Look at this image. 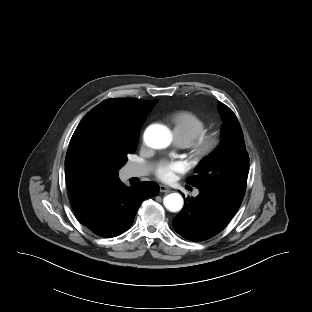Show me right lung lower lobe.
I'll return each mask as SVG.
<instances>
[{
    "instance_id": "obj_1",
    "label": "right lung lower lobe",
    "mask_w": 312,
    "mask_h": 312,
    "mask_svg": "<svg viewBox=\"0 0 312 312\" xmlns=\"http://www.w3.org/2000/svg\"><path fill=\"white\" fill-rule=\"evenodd\" d=\"M158 193L159 186L154 182H142L138 187H127L118 181L76 217L99 236H118L130 228L142 201Z\"/></svg>"
}]
</instances>
